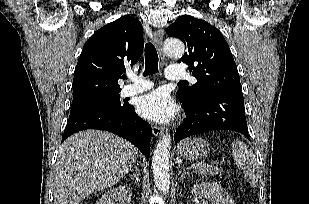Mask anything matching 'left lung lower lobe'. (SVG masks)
Here are the masks:
<instances>
[{
    "label": "left lung lower lobe",
    "mask_w": 309,
    "mask_h": 204,
    "mask_svg": "<svg viewBox=\"0 0 309 204\" xmlns=\"http://www.w3.org/2000/svg\"><path fill=\"white\" fill-rule=\"evenodd\" d=\"M181 102L186 118L175 133V143L211 130H232L249 137L243 94L216 93Z\"/></svg>",
    "instance_id": "obj_1"
}]
</instances>
